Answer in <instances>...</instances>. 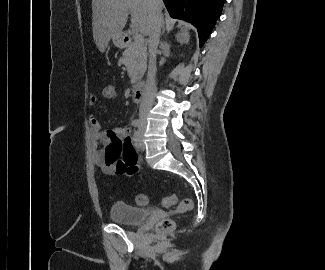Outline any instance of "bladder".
Here are the masks:
<instances>
[{
	"instance_id": "bladder-1",
	"label": "bladder",
	"mask_w": 325,
	"mask_h": 270,
	"mask_svg": "<svg viewBox=\"0 0 325 270\" xmlns=\"http://www.w3.org/2000/svg\"><path fill=\"white\" fill-rule=\"evenodd\" d=\"M150 216V210L131 205L125 201L117 200L111 207L109 218L111 221L126 225V226H140Z\"/></svg>"
}]
</instances>
